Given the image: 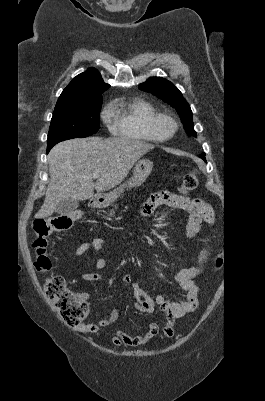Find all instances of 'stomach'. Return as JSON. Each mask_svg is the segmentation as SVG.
Wrapping results in <instances>:
<instances>
[{
  "label": "stomach",
  "mask_w": 265,
  "mask_h": 401,
  "mask_svg": "<svg viewBox=\"0 0 265 401\" xmlns=\"http://www.w3.org/2000/svg\"><path fill=\"white\" fill-rule=\"evenodd\" d=\"M152 168V160H149V158H140V160H137L134 166L131 178H129L127 182H124V184H121V186H118V188H114V190L108 192V194H103V198H96V205H99V207H108L110 203L115 201V198L120 196L124 188H134V186H140V184H143L146 178H148Z\"/></svg>",
  "instance_id": "0dacf381"
}]
</instances>
